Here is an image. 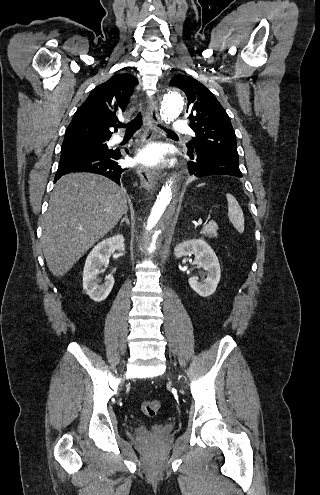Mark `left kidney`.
Returning a JSON list of instances; mask_svg holds the SVG:
<instances>
[{"mask_svg": "<svg viewBox=\"0 0 320 495\" xmlns=\"http://www.w3.org/2000/svg\"><path fill=\"white\" fill-rule=\"evenodd\" d=\"M190 254H194L196 264L206 270L207 278L199 282L198 278L190 277L189 285L200 296L208 297L215 292L220 281L221 270L218 258L202 239L184 241L174 248V255L177 258Z\"/></svg>", "mask_w": 320, "mask_h": 495, "instance_id": "left-kidney-1", "label": "left kidney"}]
</instances>
